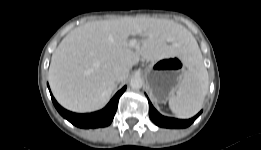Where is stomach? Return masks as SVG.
I'll use <instances>...</instances> for the list:
<instances>
[{
	"label": "stomach",
	"mask_w": 261,
	"mask_h": 150,
	"mask_svg": "<svg viewBox=\"0 0 261 150\" xmlns=\"http://www.w3.org/2000/svg\"><path fill=\"white\" fill-rule=\"evenodd\" d=\"M188 61L183 55H174L151 62L145 70L147 87L152 99L163 103L178 89Z\"/></svg>",
	"instance_id": "stomach-1"
}]
</instances>
